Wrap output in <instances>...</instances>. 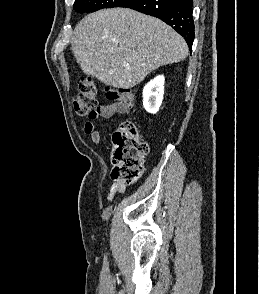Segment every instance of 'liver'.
Returning a JSON list of instances; mask_svg holds the SVG:
<instances>
[{"mask_svg":"<svg viewBox=\"0 0 259 294\" xmlns=\"http://www.w3.org/2000/svg\"><path fill=\"white\" fill-rule=\"evenodd\" d=\"M71 50L86 75L123 89L188 56L185 40L166 23L120 7L84 17L75 27Z\"/></svg>","mask_w":259,"mask_h":294,"instance_id":"liver-1","label":"liver"}]
</instances>
